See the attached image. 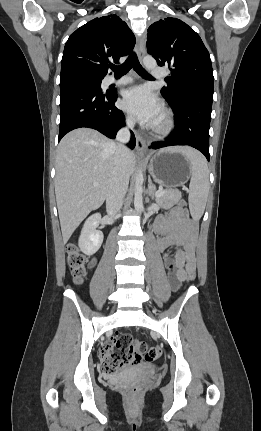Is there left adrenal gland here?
<instances>
[{
	"label": "left adrenal gland",
	"mask_w": 261,
	"mask_h": 431,
	"mask_svg": "<svg viewBox=\"0 0 261 431\" xmlns=\"http://www.w3.org/2000/svg\"><path fill=\"white\" fill-rule=\"evenodd\" d=\"M154 191H155V186L153 185L150 177L148 178V190H147V194L151 197V199H154ZM146 202H149V198H146Z\"/></svg>",
	"instance_id": "1"
}]
</instances>
